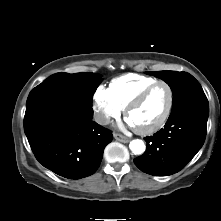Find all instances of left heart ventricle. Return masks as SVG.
<instances>
[{
    "label": "left heart ventricle",
    "instance_id": "b2bd125f",
    "mask_svg": "<svg viewBox=\"0 0 221 221\" xmlns=\"http://www.w3.org/2000/svg\"><path fill=\"white\" fill-rule=\"evenodd\" d=\"M169 102V92L164 85L154 88L147 98L129 115L132 126L144 129L156 124L164 115Z\"/></svg>",
    "mask_w": 221,
    "mask_h": 221
}]
</instances>
